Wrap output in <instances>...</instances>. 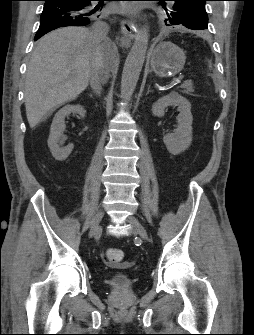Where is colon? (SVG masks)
Here are the masks:
<instances>
[{"label": "colon", "instance_id": "1", "mask_svg": "<svg viewBox=\"0 0 254 335\" xmlns=\"http://www.w3.org/2000/svg\"><path fill=\"white\" fill-rule=\"evenodd\" d=\"M106 260L111 264H119L124 257L122 250L118 248H109L106 251Z\"/></svg>", "mask_w": 254, "mask_h": 335}]
</instances>
